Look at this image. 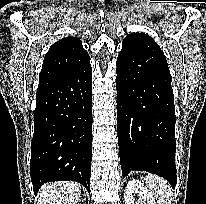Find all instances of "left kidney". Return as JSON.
I'll use <instances>...</instances> for the list:
<instances>
[{
    "label": "left kidney",
    "instance_id": "1",
    "mask_svg": "<svg viewBox=\"0 0 206 204\" xmlns=\"http://www.w3.org/2000/svg\"><path fill=\"white\" fill-rule=\"evenodd\" d=\"M134 194H138V202H135ZM124 201L125 204H156L151 192L136 179L130 180L127 183L124 193Z\"/></svg>",
    "mask_w": 206,
    "mask_h": 204
}]
</instances>
